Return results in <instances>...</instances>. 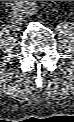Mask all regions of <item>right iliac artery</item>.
<instances>
[{
	"instance_id": "82829eb1",
	"label": "right iliac artery",
	"mask_w": 74,
	"mask_h": 122,
	"mask_svg": "<svg viewBox=\"0 0 74 122\" xmlns=\"http://www.w3.org/2000/svg\"><path fill=\"white\" fill-rule=\"evenodd\" d=\"M9 6L12 10L27 11L29 4L27 1H12Z\"/></svg>"
}]
</instances>
